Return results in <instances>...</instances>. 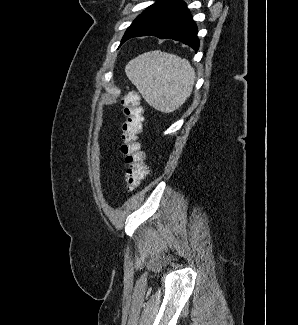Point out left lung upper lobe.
<instances>
[{
    "label": "left lung upper lobe",
    "mask_w": 298,
    "mask_h": 325,
    "mask_svg": "<svg viewBox=\"0 0 298 325\" xmlns=\"http://www.w3.org/2000/svg\"><path fill=\"white\" fill-rule=\"evenodd\" d=\"M159 2L153 4L152 6L148 7L141 15H139L135 20L134 22L129 26V28L127 29L124 37L122 40H124L127 35L129 34V32L131 31V29L137 24V22L143 17L145 16L153 7H155Z\"/></svg>",
    "instance_id": "obj_1"
}]
</instances>
